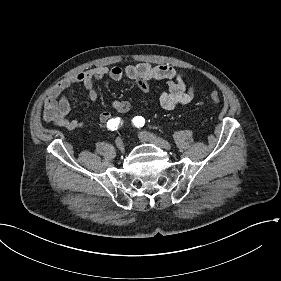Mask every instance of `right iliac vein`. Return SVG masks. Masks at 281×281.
<instances>
[{
	"mask_svg": "<svg viewBox=\"0 0 281 281\" xmlns=\"http://www.w3.org/2000/svg\"><path fill=\"white\" fill-rule=\"evenodd\" d=\"M115 144L120 151H124V143L121 138H117Z\"/></svg>",
	"mask_w": 281,
	"mask_h": 281,
	"instance_id": "right-iliac-vein-1",
	"label": "right iliac vein"
}]
</instances>
